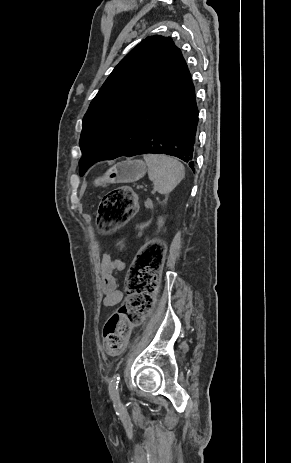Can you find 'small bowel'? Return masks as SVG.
Instances as JSON below:
<instances>
[{
  "instance_id": "c3829d8e",
  "label": "small bowel",
  "mask_w": 291,
  "mask_h": 463,
  "mask_svg": "<svg viewBox=\"0 0 291 463\" xmlns=\"http://www.w3.org/2000/svg\"><path fill=\"white\" fill-rule=\"evenodd\" d=\"M125 269V263L109 254H104L100 265V284L104 294L103 305L112 307L117 305L123 298L115 273L122 272Z\"/></svg>"
}]
</instances>
